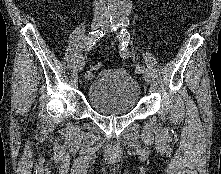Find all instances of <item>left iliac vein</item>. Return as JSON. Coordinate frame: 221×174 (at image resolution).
<instances>
[{"label":"left iliac vein","instance_id":"obj_1","mask_svg":"<svg viewBox=\"0 0 221 174\" xmlns=\"http://www.w3.org/2000/svg\"><path fill=\"white\" fill-rule=\"evenodd\" d=\"M103 27L106 28L107 30H110V29L112 30V28H110L109 26V21H106ZM141 73L143 74L145 82L149 84L151 81V78H150V74L148 70L146 68H143Z\"/></svg>","mask_w":221,"mask_h":174}]
</instances>
